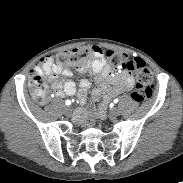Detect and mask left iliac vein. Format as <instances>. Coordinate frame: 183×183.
Returning <instances> with one entry per match:
<instances>
[{"label": "left iliac vein", "instance_id": "4c4485c4", "mask_svg": "<svg viewBox=\"0 0 183 183\" xmlns=\"http://www.w3.org/2000/svg\"><path fill=\"white\" fill-rule=\"evenodd\" d=\"M112 115H114V116H119L120 115V113H121V111H120V109L118 108V107H114L113 109H112Z\"/></svg>", "mask_w": 183, "mask_h": 183}]
</instances>
